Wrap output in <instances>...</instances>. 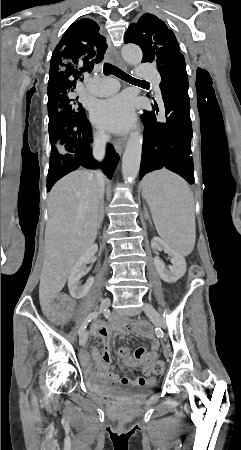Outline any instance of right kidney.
<instances>
[{
    "label": "right kidney",
    "instance_id": "1",
    "mask_svg": "<svg viewBox=\"0 0 241 450\" xmlns=\"http://www.w3.org/2000/svg\"><path fill=\"white\" fill-rule=\"evenodd\" d=\"M96 252H98L97 244H93L90 246L88 250H85L84 254L78 258L77 262H75L68 278V288L70 292V296L75 298V300H81L84 298L86 294H88L93 282L94 278H88L86 284L84 286H80L79 280H81L82 276L88 274L91 268H86L87 264H91L93 256H95Z\"/></svg>",
    "mask_w": 241,
    "mask_h": 450
}]
</instances>
